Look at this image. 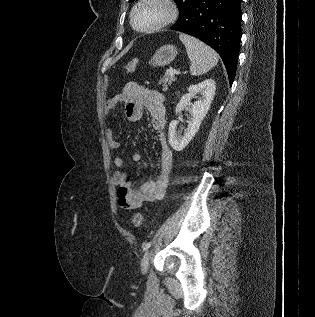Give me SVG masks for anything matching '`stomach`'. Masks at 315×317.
<instances>
[{
    "mask_svg": "<svg viewBox=\"0 0 315 317\" xmlns=\"http://www.w3.org/2000/svg\"><path fill=\"white\" fill-rule=\"evenodd\" d=\"M177 55V49L173 45H164L160 47L149 62L150 65L157 66H165L171 63Z\"/></svg>",
    "mask_w": 315,
    "mask_h": 317,
    "instance_id": "stomach-1",
    "label": "stomach"
}]
</instances>
